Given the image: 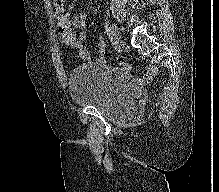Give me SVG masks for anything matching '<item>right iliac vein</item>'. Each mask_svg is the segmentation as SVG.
I'll use <instances>...</instances> for the list:
<instances>
[{"label": "right iliac vein", "mask_w": 219, "mask_h": 192, "mask_svg": "<svg viewBox=\"0 0 219 192\" xmlns=\"http://www.w3.org/2000/svg\"><path fill=\"white\" fill-rule=\"evenodd\" d=\"M112 33H113L114 43L118 46L121 43V36L118 31V27L114 24L112 25Z\"/></svg>", "instance_id": "right-iliac-vein-1"}]
</instances>
